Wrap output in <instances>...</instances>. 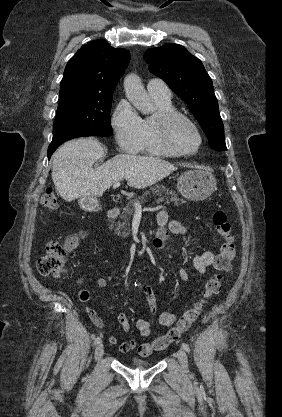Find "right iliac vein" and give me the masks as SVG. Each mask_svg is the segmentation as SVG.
Here are the masks:
<instances>
[{
    "label": "right iliac vein",
    "instance_id": "1",
    "mask_svg": "<svg viewBox=\"0 0 282 417\" xmlns=\"http://www.w3.org/2000/svg\"><path fill=\"white\" fill-rule=\"evenodd\" d=\"M103 354H104V347H103V345L100 343V344H98V345L96 346V348H95V359H96V360H100V359H101V357L103 356Z\"/></svg>",
    "mask_w": 282,
    "mask_h": 417
}]
</instances>
